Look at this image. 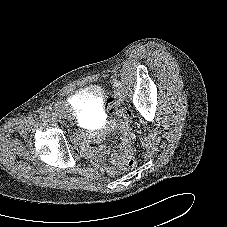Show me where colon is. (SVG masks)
<instances>
[{
	"mask_svg": "<svg viewBox=\"0 0 227 227\" xmlns=\"http://www.w3.org/2000/svg\"><path fill=\"white\" fill-rule=\"evenodd\" d=\"M106 108L110 112L123 113L122 110L118 108V103L114 99H108L106 102ZM124 141L128 147V154L122 160L121 167L123 170L133 169L136 165L135 154L138 152L139 148L134 139V136L130 132H126L124 135Z\"/></svg>",
	"mask_w": 227,
	"mask_h": 227,
	"instance_id": "obj_1",
	"label": "colon"
}]
</instances>
